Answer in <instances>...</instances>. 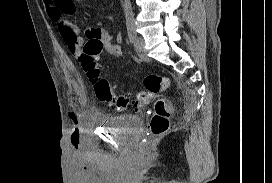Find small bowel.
Segmentation results:
<instances>
[{"instance_id": "1", "label": "small bowel", "mask_w": 272, "mask_h": 183, "mask_svg": "<svg viewBox=\"0 0 272 183\" xmlns=\"http://www.w3.org/2000/svg\"><path fill=\"white\" fill-rule=\"evenodd\" d=\"M48 17L58 25L60 33L70 51V53L79 57L82 52L84 37L81 35L78 27L64 17V14L74 12V4L71 0H43ZM85 38L100 42L104 49L109 53L121 54L120 43L122 35L111 34L108 30L100 27H88L84 30Z\"/></svg>"}]
</instances>
